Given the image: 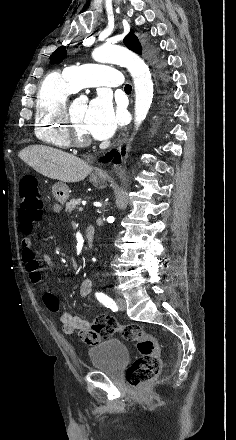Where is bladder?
Wrapping results in <instances>:
<instances>
[{
  "instance_id": "31cf9c89",
  "label": "bladder",
  "mask_w": 236,
  "mask_h": 440,
  "mask_svg": "<svg viewBox=\"0 0 236 440\" xmlns=\"http://www.w3.org/2000/svg\"><path fill=\"white\" fill-rule=\"evenodd\" d=\"M88 356L93 371L111 376L120 374L129 359L126 345L114 338L93 345Z\"/></svg>"
}]
</instances>
